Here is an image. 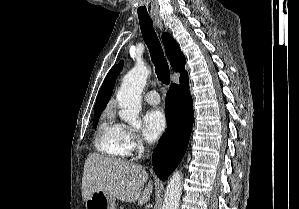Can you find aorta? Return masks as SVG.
Wrapping results in <instances>:
<instances>
[{
	"instance_id": "1",
	"label": "aorta",
	"mask_w": 299,
	"mask_h": 209,
	"mask_svg": "<svg viewBox=\"0 0 299 209\" xmlns=\"http://www.w3.org/2000/svg\"><path fill=\"white\" fill-rule=\"evenodd\" d=\"M150 71L143 64H137L123 78L117 100L121 111L119 116L132 127L140 128L141 93L147 83ZM182 194V174L175 171L166 187L162 209H179Z\"/></svg>"
}]
</instances>
